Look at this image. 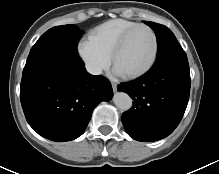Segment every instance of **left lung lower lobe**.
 Here are the masks:
<instances>
[{
  "instance_id": "left-lung-lower-lobe-1",
  "label": "left lung lower lobe",
  "mask_w": 219,
  "mask_h": 174,
  "mask_svg": "<svg viewBox=\"0 0 219 174\" xmlns=\"http://www.w3.org/2000/svg\"><path fill=\"white\" fill-rule=\"evenodd\" d=\"M190 85L187 57L165 59L141 78L119 84L118 90L134 100L132 108L122 114L126 132L142 142L170 135L183 117Z\"/></svg>"
}]
</instances>
